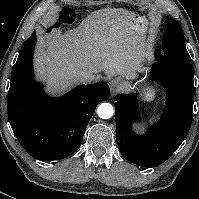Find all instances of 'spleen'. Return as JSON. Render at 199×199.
Wrapping results in <instances>:
<instances>
[{
  "label": "spleen",
  "mask_w": 199,
  "mask_h": 199,
  "mask_svg": "<svg viewBox=\"0 0 199 199\" xmlns=\"http://www.w3.org/2000/svg\"><path fill=\"white\" fill-rule=\"evenodd\" d=\"M155 119V117H152V119L151 120H154Z\"/></svg>",
  "instance_id": "obj_1"
}]
</instances>
